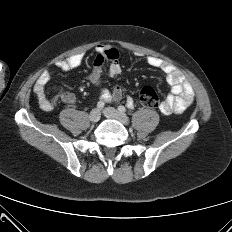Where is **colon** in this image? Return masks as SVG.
Returning <instances> with one entry per match:
<instances>
[{
  "mask_svg": "<svg viewBox=\"0 0 232 232\" xmlns=\"http://www.w3.org/2000/svg\"><path fill=\"white\" fill-rule=\"evenodd\" d=\"M140 101L147 108H158L160 98L157 91L151 86H145L140 91Z\"/></svg>",
  "mask_w": 232,
  "mask_h": 232,
  "instance_id": "colon-1",
  "label": "colon"
}]
</instances>
